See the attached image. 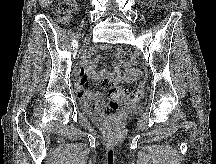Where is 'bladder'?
Returning a JSON list of instances; mask_svg holds the SVG:
<instances>
[{
	"label": "bladder",
	"instance_id": "obj_1",
	"mask_svg": "<svg viewBox=\"0 0 216 164\" xmlns=\"http://www.w3.org/2000/svg\"><path fill=\"white\" fill-rule=\"evenodd\" d=\"M135 111H140V109H137L134 106H127V107H123L121 109L116 110V112L122 116H126V115H128L132 112H135Z\"/></svg>",
	"mask_w": 216,
	"mask_h": 164
}]
</instances>
